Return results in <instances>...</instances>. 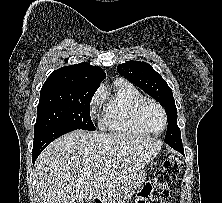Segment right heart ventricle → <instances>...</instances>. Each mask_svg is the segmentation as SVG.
<instances>
[{"label": "right heart ventricle", "mask_w": 222, "mask_h": 203, "mask_svg": "<svg viewBox=\"0 0 222 203\" xmlns=\"http://www.w3.org/2000/svg\"><path fill=\"white\" fill-rule=\"evenodd\" d=\"M104 92L106 103L101 125L105 130L130 136H145V132L137 123L135 109L145 99L143 94L132 84L118 80L111 90Z\"/></svg>", "instance_id": "obj_1"}]
</instances>
